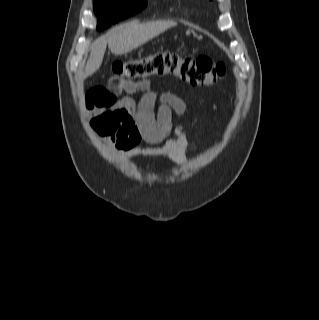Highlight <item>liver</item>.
<instances>
[{"instance_id": "1", "label": "liver", "mask_w": 319, "mask_h": 320, "mask_svg": "<svg viewBox=\"0 0 319 320\" xmlns=\"http://www.w3.org/2000/svg\"><path fill=\"white\" fill-rule=\"evenodd\" d=\"M176 25L177 23L173 21H156L144 24L130 22L115 27L106 36L98 38L92 44L84 78L94 74L100 68L107 44L113 54H126Z\"/></svg>"}]
</instances>
